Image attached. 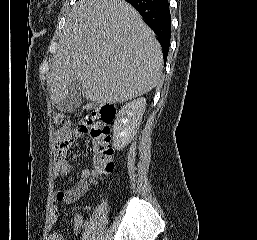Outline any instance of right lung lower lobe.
<instances>
[{"label":"right lung lower lobe","mask_w":257,"mask_h":240,"mask_svg":"<svg viewBox=\"0 0 257 240\" xmlns=\"http://www.w3.org/2000/svg\"><path fill=\"white\" fill-rule=\"evenodd\" d=\"M141 14L145 23L155 32L166 62L171 33V15L168 0H125Z\"/></svg>","instance_id":"1"}]
</instances>
